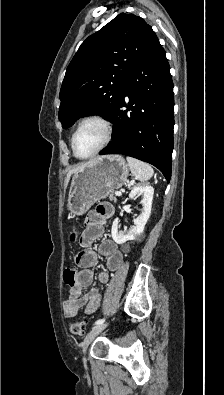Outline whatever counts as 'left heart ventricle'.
<instances>
[{"label":"left heart ventricle","instance_id":"1","mask_svg":"<svg viewBox=\"0 0 224 395\" xmlns=\"http://www.w3.org/2000/svg\"><path fill=\"white\" fill-rule=\"evenodd\" d=\"M104 136V129L100 124L87 123L81 128L75 140L77 154L82 157L91 154L101 144Z\"/></svg>","mask_w":224,"mask_h":395}]
</instances>
